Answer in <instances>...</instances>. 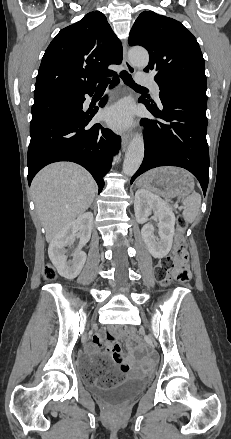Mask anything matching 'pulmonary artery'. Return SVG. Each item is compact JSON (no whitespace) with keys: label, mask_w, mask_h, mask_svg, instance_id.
Returning <instances> with one entry per match:
<instances>
[{"label":"pulmonary artery","mask_w":231,"mask_h":439,"mask_svg":"<svg viewBox=\"0 0 231 439\" xmlns=\"http://www.w3.org/2000/svg\"><path fill=\"white\" fill-rule=\"evenodd\" d=\"M136 80L139 84L150 87L153 90L155 97L159 99V93H160L159 85L154 81V79L150 75L144 73H137Z\"/></svg>","instance_id":"1"}]
</instances>
